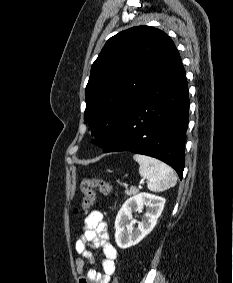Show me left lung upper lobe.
Listing matches in <instances>:
<instances>
[{
	"mask_svg": "<svg viewBox=\"0 0 233 283\" xmlns=\"http://www.w3.org/2000/svg\"><path fill=\"white\" fill-rule=\"evenodd\" d=\"M175 47L163 31L138 26L111 37L92 65L85 90L84 122L98 146L117 136L147 80Z\"/></svg>",
	"mask_w": 233,
	"mask_h": 283,
	"instance_id": "5c2ea615",
	"label": "left lung upper lobe"
}]
</instances>
